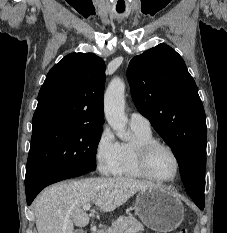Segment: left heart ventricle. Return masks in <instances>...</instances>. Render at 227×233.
<instances>
[{
  "label": "left heart ventricle",
  "instance_id": "b2bd125f",
  "mask_svg": "<svg viewBox=\"0 0 227 233\" xmlns=\"http://www.w3.org/2000/svg\"><path fill=\"white\" fill-rule=\"evenodd\" d=\"M152 173L162 179H168L175 174V160L165 149L156 150L150 158Z\"/></svg>",
  "mask_w": 227,
  "mask_h": 233
}]
</instances>
